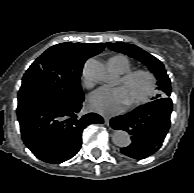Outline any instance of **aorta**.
<instances>
[{
  "label": "aorta",
  "mask_w": 194,
  "mask_h": 193,
  "mask_svg": "<svg viewBox=\"0 0 194 193\" xmlns=\"http://www.w3.org/2000/svg\"><path fill=\"white\" fill-rule=\"evenodd\" d=\"M84 71L87 77L95 81L110 83L113 80L111 71L95 59L86 62ZM112 141L118 147H127L131 142L130 135L124 130L115 131L112 135Z\"/></svg>",
  "instance_id": "762f6f07"
}]
</instances>
